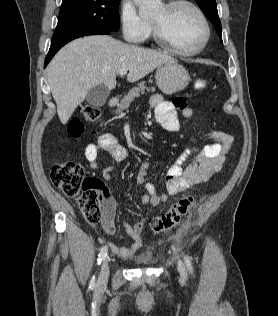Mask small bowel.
<instances>
[{
  "instance_id": "1",
  "label": "small bowel",
  "mask_w": 278,
  "mask_h": 316,
  "mask_svg": "<svg viewBox=\"0 0 278 316\" xmlns=\"http://www.w3.org/2000/svg\"><path fill=\"white\" fill-rule=\"evenodd\" d=\"M150 102L154 107L157 122L170 132L179 130V112L185 119H190L193 116V109L183 98H176L172 102H168L161 95L156 94L151 97ZM204 136L211 141L209 144L201 148L185 150L169 167L165 177L166 193H157L154 184L146 182V175L151 163L145 161L141 164L137 175V183L143 185L145 189V194L141 199L143 205L149 204L157 207L166 202L170 195H176L194 185L206 182L214 174L221 171L226 160V154L234 143V137L219 130L208 132ZM100 150L106 151L117 163L123 162L129 157L128 149L121 145L114 135L104 133L95 142H91L85 147L84 156L92 169L98 168V154ZM190 155H193V160L184 168L183 164ZM113 170L114 165H109L103 169L102 178L104 181H111ZM115 211L116 203L114 198L107 190H104L101 226L108 235L115 233ZM143 226V219L134 223H130L125 219L124 227L126 233L133 242L129 247L110 243L109 247L112 252L120 256H130L140 249L143 244L141 236Z\"/></svg>"
}]
</instances>
